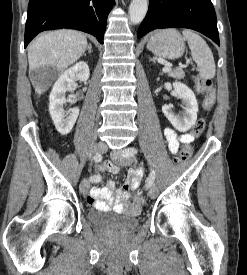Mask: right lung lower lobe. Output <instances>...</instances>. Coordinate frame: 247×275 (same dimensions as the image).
<instances>
[{
    "instance_id": "obj_1",
    "label": "right lung lower lobe",
    "mask_w": 247,
    "mask_h": 275,
    "mask_svg": "<svg viewBox=\"0 0 247 275\" xmlns=\"http://www.w3.org/2000/svg\"><path fill=\"white\" fill-rule=\"evenodd\" d=\"M114 0H30L24 46L40 32L60 28L81 30L103 44Z\"/></svg>"
}]
</instances>
